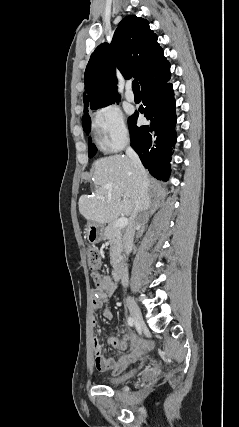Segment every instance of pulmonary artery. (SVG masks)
Segmentation results:
<instances>
[{
	"label": "pulmonary artery",
	"instance_id": "1",
	"mask_svg": "<svg viewBox=\"0 0 239 427\" xmlns=\"http://www.w3.org/2000/svg\"><path fill=\"white\" fill-rule=\"evenodd\" d=\"M125 96H126V99H127L129 102H134V100H135V95H134V93H133V91H132V89H131V85H128Z\"/></svg>",
	"mask_w": 239,
	"mask_h": 427
}]
</instances>
